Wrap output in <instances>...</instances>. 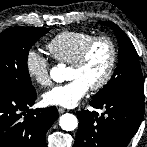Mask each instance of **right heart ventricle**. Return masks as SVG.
I'll return each instance as SVG.
<instances>
[{
	"label": "right heart ventricle",
	"mask_w": 147,
	"mask_h": 147,
	"mask_svg": "<svg viewBox=\"0 0 147 147\" xmlns=\"http://www.w3.org/2000/svg\"><path fill=\"white\" fill-rule=\"evenodd\" d=\"M94 36L89 32L64 31L54 36L46 44V49L55 60L70 65Z\"/></svg>",
	"instance_id": "right-heart-ventricle-1"
}]
</instances>
